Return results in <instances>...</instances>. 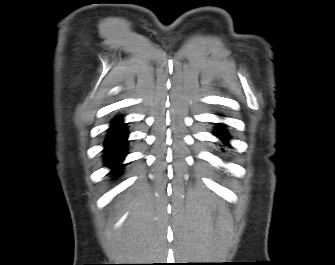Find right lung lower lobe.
I'll list each match as a JSON object with an SVG mask.
<instances>
[{
	"label": "right lung lower lobe",
	"mask_w": 335,
	"mask_h": 265,
	"mask_svg": "<svg viewBox=\"0 0 335 265\" xmlns=\"http://www.w3.org/2000/svg\"><path fill=\"white\" fill-rule=\"evenodd\" d=\"M127 135L125 124L122 123L121 117H117L109 128L104 149L107 165L114 167L115 171L120 168L119 164L126 155Z\"/></svg>",
	"instance_id": "1"
}]
</instances>
